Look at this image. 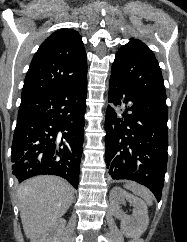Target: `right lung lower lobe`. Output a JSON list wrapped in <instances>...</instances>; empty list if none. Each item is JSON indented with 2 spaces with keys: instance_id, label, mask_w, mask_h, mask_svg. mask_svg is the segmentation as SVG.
Here are the masks:
<instances>
[{
  "instance_id": "98d812e1",
  "label": "right lung lower lobe",
  "mask_w": 187,
  "mask_h": 242,
  "mask_svg": "<svg viewBox=\"0 0 187 242\" xmlns=\"http://www.w3.org/2000/svg\"><path fill=\"white\" fill-rule=\"evenodd\" d=\"M86 97L87 78L21 101L11 153L13 175L20 182L50 174L78 188Z\"/></svg>"
}]
</instances>
